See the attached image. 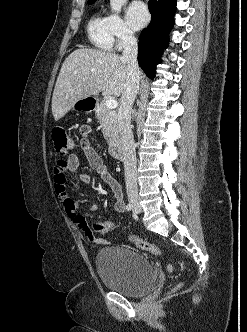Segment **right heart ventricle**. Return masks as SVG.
<instances>
[{
  "label": "right heart ventricle",
  "instance_id": "right-heart-ventricle-1",
  "mask_svg": "<svg viewBox=\"0 0 247 332\" xmlns=\"http://www.w3.org/2000/svg\"><path fill=\"white\" fill-rule=\"evenodd\" d=\"M87 33L90 42L98 49L111 50L114 37L110 26V15L101 10L96 11L88 21Z\"/></svg>",
  "mask_w": 247,
  "mask_h": 332
}]
</instances>
